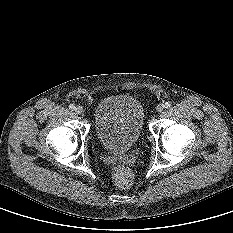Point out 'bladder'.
<instances>
[{"instance_id":"obj_1","label":"bladder","mask_w":233,"mask_h":233,"mask_svg":"<svg viewBox=\"0 0 233 233\" xmlns=\"http://www.w3.org/2000/svg\"><path fill=\"white\" fill-rule=\"evenodd\" d=\"M145 112L142 103L129 94L101 99L93 114V124L100 144L114 153L125 152L140 139Z\"/></svg>"}]
</instances>
